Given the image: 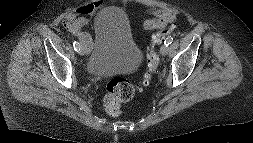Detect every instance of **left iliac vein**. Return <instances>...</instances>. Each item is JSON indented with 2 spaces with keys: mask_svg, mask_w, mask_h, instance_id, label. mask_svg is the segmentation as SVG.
Masks as SVG:
<instances>
[{
  "mask_svg": "<svg viewBox=\"0 0 253 143\" xmlns=\"http://www.w3.org/2000/svg\"><path fill=\"white\" fill-rule=\"evenodd\" d=\"M168 51H169V49H168V46H166V45H163L160 48V53H161L162 56H166L168 54Z\"/></svg>",
  "mask_w": 253,
  "mask_h": 143,
  "instance_id": "1",
  "label": "left iliac vein"
}]
</instances>
